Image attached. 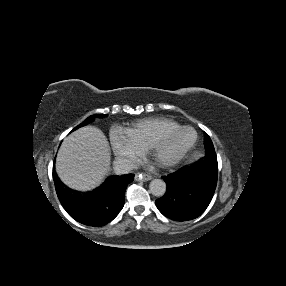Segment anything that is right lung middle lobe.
<instances>
[{
  "label": "right lung middle lobe",
  "mask_w": 286,
  "mask_h": 286,
  "mask_svg": "<svg viewBox=\"0 0 286 286\" xmlns=\"http://www.w3.org/2000/svg\"><path fill=\"white\" fill-rule=\"evenodd\" d=\"M106 114H96V115H92L90 117H88L84 122H82L80 125H78L77 127H75L72 131L82 127V126H85L89 123H91L92 121H94V118L97 117V118H102V117H105Z\"/></svg>",
  "instance_id": "dd1d6c3e"
}]
</instances>
